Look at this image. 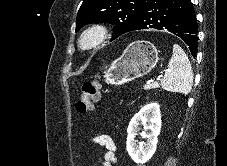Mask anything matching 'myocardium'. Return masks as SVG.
I'll list each match as a JSON object with an SVG mask.
<instances>
[{"instance_id": "f54148a6", "label": "myocardium", "mask_w": 227, "mask_h": 166, "mask_svg": "<svg viewBox=\"0 0 227 166\" xmlns=\"http://www.w3.org/2000/svg\"><path fill=\"white\" fill-rule=\"evenodd\" d=\"M109 37V30L103 24H93L86 28L78 38V45L83 50H94L100 47Z\"/></svg>"}]
</instances>
